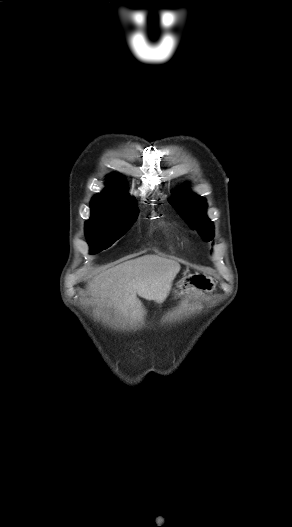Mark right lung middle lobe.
Wrapping results in <instances>:
<instances>
[{"label":"right lung middle lobe","mask_w":292,"mask_h":527,"mask_svg":"<svg viewBox=\"0 0 292 527\" xmlns=\"http://www.w3.org/2000/svg\"><path fill=\"white\" fill-rule=\"evenodd\" d=\"M91 218L85 232L91 253L110 247L133 224L137 217L136 206H122L102 201H91Z\"/></svg>","instance_id":"1"}]
</instances>
